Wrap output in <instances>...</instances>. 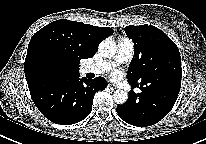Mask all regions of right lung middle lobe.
<instances>
[{
  "instance_id": "1",
  "label": "right lung middle lobe",
  "mask_w": 206,
  "mask_h": 144,
  "mask_svg": "<svg viewBox=\"0 0 206 144\" xmlns=\"http://www.w3.org/2000/svg\"><path fill=\"white\" fill-rule=\"evenodd\" d=\"M56 62L51 60V59H47V60H44L42 63H41V67L44 71H47V72H53L56 70Z\"/></svg>"
}]
</instances>
